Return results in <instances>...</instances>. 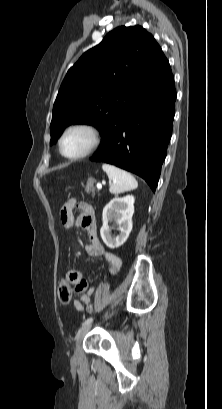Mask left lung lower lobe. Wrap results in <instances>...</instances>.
<instances>
[{"instance_id": "left-lung-lower-lobe-1", "label": "left lung lower lobe", "mask_w": 222, "mask_h": 409, "mask_svg": "<svg viewBox=\"0 0 222 409\" xmlns=\"http://www.w3.org/2000/svg\"><path fill=\"white\" fill-rule=\"evenodd\" d=\"M172 72L136 95L102 134L92 161L105 162L142 177L155 192L167 154L175 114Z\"/></svg>"}]
</instances>
